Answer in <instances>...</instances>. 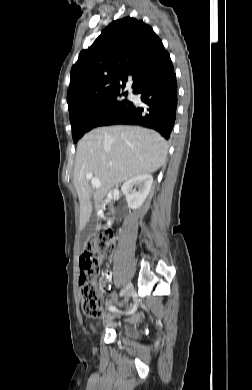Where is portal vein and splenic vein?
Here are the masks:
<instances>
[{
	"instance_id": "portal-vein-and-splenic-vein-1",
	"label": "portal vein and splenic vein",
	"mask_w": 252,
	"mask_h": 390,
	"mask_svg": "<svg viewBox=\"0 0 252 390\" xmlns=\"http://www.w3.org/2000/svg\"><path fill=\"white\" fill-rule=\"evenodd\" d=\"M86 179L91 181V184L94 188H99L101 186V182L98 178L93 177L92 173H88L86 175Z\"/></svg>"
}]
</instances>
